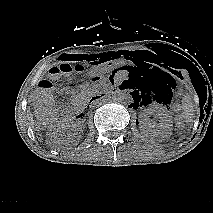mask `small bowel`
<instances>
[{
    "label": "small bowel",
    "mask_w": 213,
    "mask_h": 213,
    "mask_svg": "<svg viewBox=\"0 0 213 213\" xmlns=\"http://www.w3.org/2000/svg\"><path fill=\"white\" fill-rule=\"evenodd\" d=\"M128 71L127 70H117L113 73L112 75V78H113V81L115 83V85L119 88L121 86H124L126 80L128 79ZM145 102L146 104L145 105H148V104H157L158 101L155 100V99H148V98H145Z\"/></svg>",
    "instance_id": "small-bowel-1"
}]
</instances>
